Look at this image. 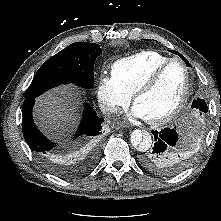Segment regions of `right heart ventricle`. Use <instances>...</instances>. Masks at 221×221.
<instances>
[{"mask_svg":"<svg viewBox=\"0 0 221 221\" xmlns=\"http://www.w3.org/2000/svg\"><path fill=\"white\" fill-rule=\"evenodd\" d=\"M168 59L170 57L161 52L145 50L117 60L111 71L125 91L133 95L152 72Z\"/></svg>","mask_w":221,"mask_h":221,"instance_id":"obj_1","label":"right heart ventricle"}]
</instances>
